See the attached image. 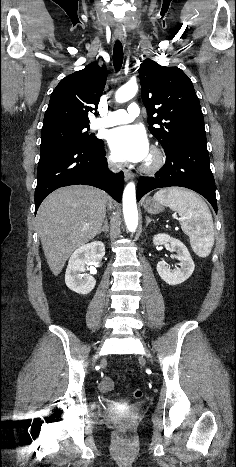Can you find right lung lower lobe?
<instances>
[{
	"mask_svg": "<svg viewBox=\"0 0 236 467\" xmlns=\"http://www.w3.org/2000/svg\"><path fill=\"white\" fill-rule=\"evenodd\" d=\"M105 155L103 141L95 148L63 143L40 149L35 211L52 191L75 184L98 187L120 202L124 175L108 170Z\"/></svg>",
	"mask_w": 236,
	"mask_h": 467,
	"instance_id": "right-lung-lower-lobe-1",
	"label": "right lung lower lobe"
}]
</instances>
